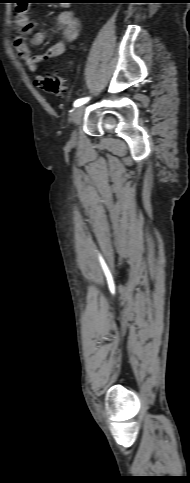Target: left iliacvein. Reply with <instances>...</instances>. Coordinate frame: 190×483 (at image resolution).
Listing matches in <instances>:
<instances>
[{
	"instance_id": "1",
	"label": "left iliac vein",
	"mask_w": 190,
	"mask_h": 483,
	"mask_svg": "<svg viewBox=\"0 0 190 483\" xmlns=\"http://www.w3.org/2000/svg\"><path fill=\"white\" fill-rule=\"evenodd\" d=\"M84 108L85 107L83 105L76 107L74 109L72 115H71L72 123L74 125V130H73L72 135H71V141L72 142H75L77 140L78 127H79L80 122H81V117H82Z\"/></svg>"
}]
</instances>
